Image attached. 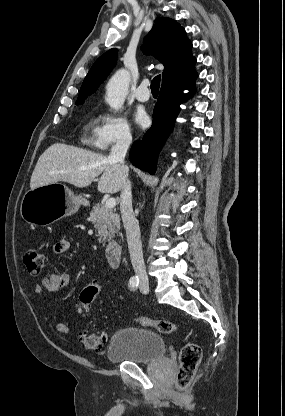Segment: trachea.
Instances as JSON below:
<instances>
[{
  "mask_svg": "<svg viewBox=\"0 0 285 416\" xmlns=\"http://www.w3.org/2000/svg\"><path fill=\"white\" fill-rule=\"evenodd\" d=\"M160 80H161L160 75H157L156 77L153 78V80L151 81V85H150L152 92H159Z\"/></svg>",
  "mask_w": 285,
  "mask_h": 416,
  "instance_id": "obj_1",
  "label": "trachea"
}]
</instances>
